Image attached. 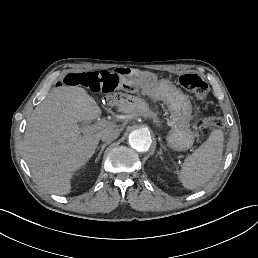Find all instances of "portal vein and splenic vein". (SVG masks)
<instances>
[{
  "mask_svg": "<svg viewBox=\"0 0 258 258\" xmlns=\"http://www.w3.org/2000/svg\"><path fill=\"white\" fill-rule=\"evenodd\" d=\"M99 128H100V126L95 125V126H90L87 129L90 130L91 132H96L99 130Z\"/></svg>",
  "mask_w": 258,
  "mask_h": 258,
  "instance_id": "18ae733b",
  "label": "portal vein and splenic vein"
}]
</instances>
